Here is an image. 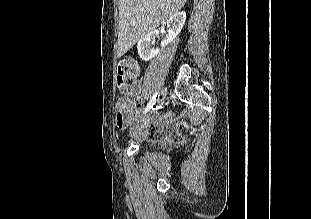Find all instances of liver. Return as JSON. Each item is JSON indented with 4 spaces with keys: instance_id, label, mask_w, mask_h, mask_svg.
Returning a JSON list of instances; mask_svg holds the SVG:
<instances>
[{
    "instance_id": "6515ba94",
    "label": "liver",
    "mask_w": 311,
    "mask_h": 219,
    "mask_svg": "<svg viewBox=\"0 0 311 219\" xmlns=\"http://www.w3.org/2000/svg\"><path fill=\"white\" fill-rule=\"evenodd\" d=\"M187 0H118L119 33L117 56L124 55L133 45L161 23L178 13Z\"/></svg>"
}]
</instances>
